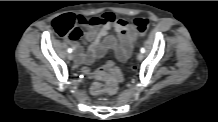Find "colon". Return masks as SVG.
Wrapping results in <instances>:
<instances>
[{"mask_svg": "<svg viewBox=\"0 0 218 122\" xmlns=\"http://www.w3.org/2000/svg\"><path fill=\"white\" fill-rule=\"evenodd\" d=\"M77 24H79L77 16L63 15L55 19L54 28L59 35L70 40H77L82 35V31ZM148 27L149 20L147 18H137L134 22V30L137 35H143ZM116 65L115 60H106L104 66L91 73L94 79L91 87L93 93L97 94L102 90L110 94L116 92L118 84L122 81V73ZM90 70L89 64H82L78 67L80 74H89ZM102 82L104 85H102Z\"/></svg>", "mask_w": 218, "mask_h": 122, "instance_id": "obj_1", "label": "colon"}]
</instances>
